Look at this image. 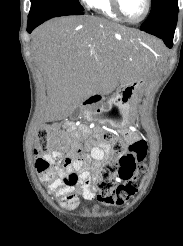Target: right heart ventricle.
<instances>
[{"label":"right heart ventricle","instance_id":"right-heart-ventricle-1","mask_svg":"<svg viewBox=\"0 0 183 246\" xmlns=\"http://www.w3.org/2000/svg\"><path fill=\"white\" fill-rule=\"evenodd\" d=\"M88 5L96 12L115 20H121V17L115 12L111 0H90Z\"/></svg>","mask_w":183,"mask_h":246}]
</instances>
